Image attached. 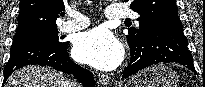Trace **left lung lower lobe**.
I'll list each match as a JSON object with an SVG mask.
<instances>
[{
  "mask_svg": "<svg viewBox=\"0 0 205 87\" xmlns=\"http://www.w3.org/2000/svg\"><path fill=\"white\" fill-rule=\"evenodd\" d=\"M129 47L131 60L122 78L161 62H177L195 72L179 17H166L156 22L140 45Z\"/></svg>",
  "mask_w": 205,
  "mask_h": 87,
  "instance_id": "0a47b994",
  "label": "left lung lower lobe"
}]
</instances>
